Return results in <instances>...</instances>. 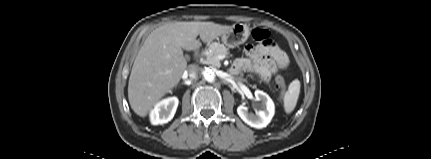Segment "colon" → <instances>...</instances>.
I'll use <instances>...</instances> for the list:
<instances>
[{
    "label": "colon",
    "instance_id": "obj_1",
    "mask_svg": "<svg viewBox=\"0 0 431 159\" xmlns=\"http://www.w3.org/2000/svg\"><path fill=\"white\" fill-rule=\"evenodd\" d=\"M252 38L255 41H257L259 43H263V44H268L271 41L270 33L266 29H262V28H255L252 31ZM275 83H276V87H277V90L279 92V95L282 98L285 94V91H286L285 79L281 76H278L275 79Z\"/></svg>",
    "mask_w": 431,
    "mask_h": 159
}]
</instances>
